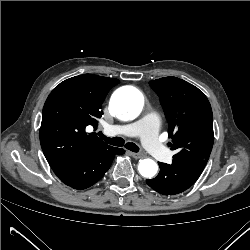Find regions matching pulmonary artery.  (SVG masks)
I'll return each mask as SVG.
<instances>
[{"label": "pulmonary artery", "mask_w": 250, "mask_h": 250, "mask_svg": "<svg viewBox=\"0 0 250 250\" xmlns=\"http://www.w3.org/2000/svg\"><path fill=\"white\" fill-rule=\"evenodd\" d=\"M159 123L155 116H148L142 120L127 126L110 127L114 134H124L130 137H138L142 145L154 158L166 160L169 150L159 141L157 137Z\"/></svg>", "instance_id": "1"}]
</instances>
